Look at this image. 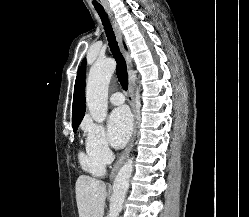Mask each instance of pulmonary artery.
Here are the masks:
<instances>
[{
    "label": "pulmonary artery",
    "instance_id": "1",
    "mask_svg": "<svg viewBox=\"0 0 249 217\" xmlns=\"http://www.w3.org/2000/svg\"><path fill=\"white\" fill-rule=\"evenodd\" d=\"M125 101V97L121 92H115L110 96V102L113 105H120Z\"/></svg>",
    "mask_w": 249,
    "mask_h": 217
}]
</instances>
